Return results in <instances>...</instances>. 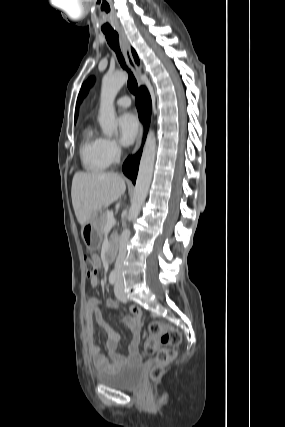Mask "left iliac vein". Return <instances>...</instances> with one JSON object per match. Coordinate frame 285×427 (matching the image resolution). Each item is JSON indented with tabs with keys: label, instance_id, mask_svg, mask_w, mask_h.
Here are the masks:
<instances>
[{
	"label": "left iliac vein",
	"instance_id": "4c4485c4",
	"mask_svg": "<svg viewBox=\"0 0 285 427\" xmlns=\"http://www.w3.org/2000/svg\"><path fill=\"white\" fill-rule=\"evenodd\" d=\"M115 296L121 302H126L127 298L124 292V282L121 275L117 276L115 288H114Z\"/></svg>",
	"mask_w": 285,
	"mask_h": 427
}]
</instances>
